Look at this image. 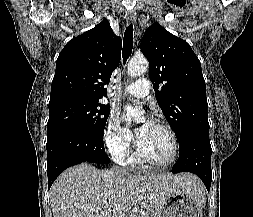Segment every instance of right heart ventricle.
<instances>
[{"label": "right heart ventricle", "mask_w": 253, "mask_h": 217, "mask_svg": "<svg viewBox=\"0 0 253 217\" xmlns=\"http://www.w3.org/2000/svg\"><path fill=\"white\" fill-rule=\"evenodd\" d=\"M126 163L134 165V164L137 163V159H136V157H134V156H130V157L127 159Z\"/></svg>", "instance_id": "e07e8e85"}]
</instances>
